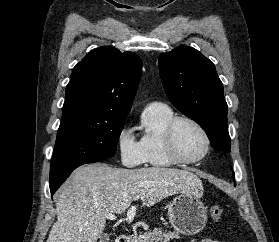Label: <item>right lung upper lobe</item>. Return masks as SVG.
<instances>
[{"label": "right lung upper lobe", "instance_id": "obj_1", "mask_svg": "<svg viewBox=\"0 0 279 242\" xmlns=\"http://www.w3.org/2000/svg\"><path fill=\"white\" fill-rule=\"evenodd\" d=\"M142 61L133 52L103 46L89 52L73 69L63 114L126 118L139 84Z\"/></svg>", "mask_w": 279, "mask_h": 242}]
</instances>
